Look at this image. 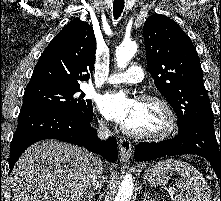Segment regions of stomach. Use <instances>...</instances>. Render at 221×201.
Masks as SVG:
<instances>
[{"label": "stomach", "instance_id": "stomach-1", "mask_svg": "<svg viewBox=\"0 0 221 201\" xmlns=\"http://www.w3.org/2000/svg\"><path fill=\"white\" fill-rule=\"evenodd\" d=\"M145 180L153 186H161L169 180V169L159 164L151 165L145 171Z\"/></svg>", "mask_w": 221, "mask_h": 201}]
</instances>
